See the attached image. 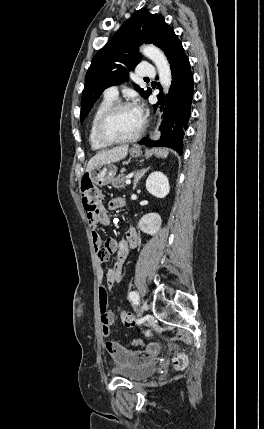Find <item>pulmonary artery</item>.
<instances>
[{
    "label": "pulmonary artery",
    "instance_id": "pulmonary-artery-1",
    "mask_svg": "<svg viewBox=\"0 0 264 429\" xmlns=\"http://www.w3.org/2000/svg\"><path fill=\"white\" fill-rule=\"evenodd\" d=\"M139 75L141 77L151 78L156 75V70L151 64L144 62L140 65ZM104 94L107 98L116 99L118 96V87L110 86L105 90Z\"/></svg>",
    "mask_w": 264,
    "mask_h": 429
}]
</instances>
